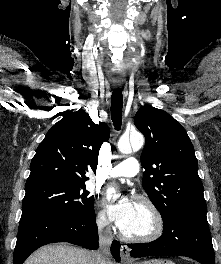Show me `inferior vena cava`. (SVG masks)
<instances>
[{
    "instance_id": "602c4592",
    "label": "inferior vena cava",
    "mask_w": 221,
    "mask_h": 264,
    "mask_svg": "<svg viewBox=\"0 0 221 264\" xmlns=\"http://www.w3.org/2000/svg\"><path fill=\"white\" fill-rule=\"evenodd\" d=\"M107 220L98 221L99 229V250L96 252V264H107V257L109 255V246L113 241V235L108 225Z\"/></svg>"
}]
</instances>
